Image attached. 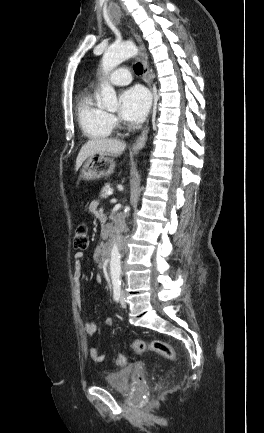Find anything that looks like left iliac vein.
Instances as JSON below:
<instances>
[{
	"label": "left iliac vein",
	"mask_w": 264,
	"mask_h": 433,
	"mask_svg": "<svg viewBox=\"0 0 264 433\" xmlns=\"http://www.w3.org/2000/svg\"><path fill=\"white\" fill-rule=\"evenodd\" d=\"M120 304H121L122 307H126L127 306L126 297H125V293L124 292L121 293Z\"/></svg>",
	"instance_id": "1"
}]
</instances>
